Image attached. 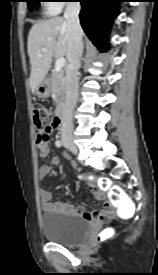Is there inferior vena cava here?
Returning a JSON list of instances; mask_svg holds the SVG:
<instances>
[{"mask_svg": "<svg viewBox=\"0 0 158 275\" xmlns=\"http://www.w3.org/2000/svg\"><path fill=\"white\" fill-rule=\"evenodd\" d=\"M79 2H69L64 12L67 22L68 49L67 60L69 62L66 76V99L61 119V136H72L73 123L72 112L78 99L79 69L83 53L82 28L79 20Z\"/></svg>", "mask_w": 158, "mask_h": 275, "instance_id": "inferior-vena-cava-1", "label": "inferior vena cava"}]
</instances>
